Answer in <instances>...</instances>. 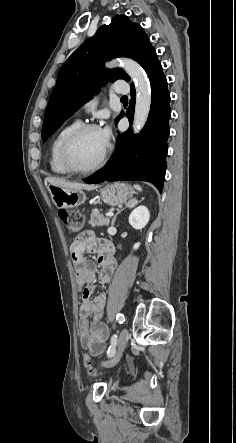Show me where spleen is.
<instances>
[{
  "label": "spleen",
  "mask_w": 236,
  "mask_h": 443,
  "mask_svg": "<svg viewBox=\"0 0 236 443\" xmlns=\"http://www.w3.org/2000/svg\"><path fill=\"white\" fill-rule=\"evenodd\" d=\"M134 188L136 189V190H138V191H142V188H141V186H139V185H134Z\"/></svg>",
  "instance_id": "spleen-1"
}]
</instances>
